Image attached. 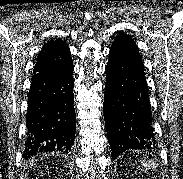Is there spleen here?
<instances>
[{"label":"spleen","mask_w":183,"mask_h":179,"mask_svg":"<svg viewBox=\"0 0 183 179\" xmlns=\"http://www.w3.org/2000/svg\"><path fill=\"white\" fill-rule=\"evenodd\" d=\"M142 166L146 167V169L148 170H153V171H155L157 168V164L153 160H149V159L148 160L144 159L142 161Z\"/></svg>","instance_id":"spleen-1"}]
</instances>
